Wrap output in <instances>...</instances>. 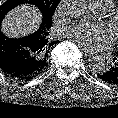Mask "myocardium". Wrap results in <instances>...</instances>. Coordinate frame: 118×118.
Instances as JSON below:
<instances>
[{
  "label": "myocardium",
  "mask_w": 118,
  "mask_h": 118,
  "mask_svg": "<svg viewBox=\"0 0 118 118\" xmlns=\"http://www.w3.org/2000/svg\"><path fill=\"white\" fill-rule=\"evenodd\" d=\"M106 21L113 33L114 41L118 43V10L111 11L106 16Z\"/></svg>",
  "instance_id": "f54148a6"
}]
</instances>
